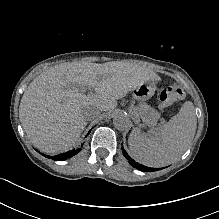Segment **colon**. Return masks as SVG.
Listing matches in <instances>:
<instances>
[{
	"label": "colon",
	"instance_id": "5ec220e1",
	"mask_svg": "<svg viewBox=\"0 0 219 219\" xmlns=\"http://www.w3.org/2000/svg\"><path fill=\"white\" fill-rule=\"evenodd\" d=\"M185 96L181 85L175 83L163 89L159 93V100L162 108L171 106L174 102L183 99Z\"/></svg>",
	"mask_w": 219,
	"mask_h": 219
}]
</instances>
